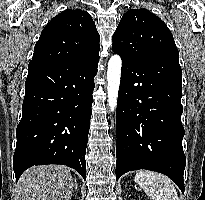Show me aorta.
Returning <instances> with one entry per match:
<instances>
[{"mask_svg":"<svg viewBox=\"0 0 205 200\" xmlns=\"http://www.w3.org/2000/svg\"><path fill=\"white\" fill-rule=\"evenodd\" d=\"M122 61L119 55H113L108 62L107 68V94L108 105L114 112L117 105L118 91L121 78Z\"/></svg>","mask_w":205,"mask_h":200,"instance_id":"1","label":"aorta"}]
</instances>
